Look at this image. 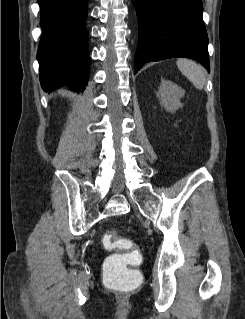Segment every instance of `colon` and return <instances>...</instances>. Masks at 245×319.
Segmentation results:
<instances>
[{
  "mask_svg": "<svg viewBox=\"0 0 245 319\" xmlns=\"http://www.w3.org/2000/svg\"><path fill=\"white\" fill-rule=\"evenodd\" d=\"M107 250H118L109 255L105 261V282L110 286L132 289L140 285V274L132 267L140 262V254L131 240L106 233L101 240Z\"/></svg>",
  "mask_w": 245,
  "mask_h": 319,
  "instance_id": "colon-1",
  "label": "colon"
}]
</instances>
